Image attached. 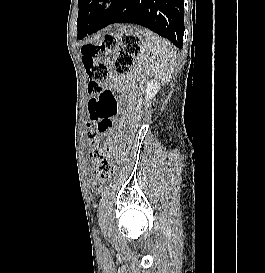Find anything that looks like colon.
Masks as SVG:
<instances>
[{"label": "colon", "instance_id": "obj_1", "mask_svg": "<svg viewBox=\"0 0 265 273\" xmlns=\"http://www.w3.org/2000/svg\"><path fill=\"white\" fill-rule=\"evenodd\" d=\"M140 53L139 38L134 34H123L118 47L114 34H105L99 45L89 44L82 48L83 65L89 77L88 91L91 99L88 104L90 147H95L94 172L100 181L107 180L114 170L109 152L112 151V119L117 114L118 106L113 93L103 88L107 79L108 68L103 59L114 55V68L118 73L131 70L137 55ZM97 139V140H96ZM101 185H97L100 188Z\"/></svg>", "mask_w": 265, "mask_h": 273}]
</instances>
